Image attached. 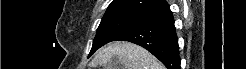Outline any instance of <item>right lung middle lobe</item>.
Masks as SVG:
<instances>
[{
  "label": "right lung middle lobe",
  "instance_id": "1",
  "mask_svg": "<svg viewBox=\"0 0 246 69\" xmlns=\"http://www.w3.org/2000/svg\"><path fill=\"white\" fill-rule=\"evenodd\" d=\"M142 21L141 15H124L102 19L93 41L89 56L120 34Z\"/></svg>",
  "mask_w": 246,
  "mask_h": 69
}]
</instances>
